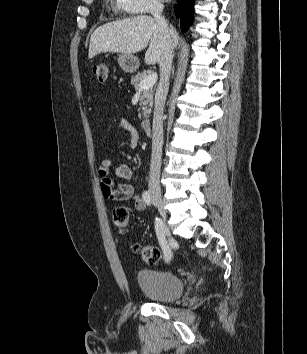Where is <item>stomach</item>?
Wrapping results in <instances>:
<instances>
[{
    "mask_svg": "<svg viewBox=\"0 0 307 354\" xmlns=\"http://www.w3.org/2000/svg\"><path fill=\"white\" fill-rule=\"evenodd\" d=\"M118 64L124 72L133 73L139 67V60L132 54H121L118 57Z\"/></svg>",
    "mask_w": 307,
    "mask_h": 354,
    "instance_id": "obj_1",
    "label": "stomach"
}]
</instances>
